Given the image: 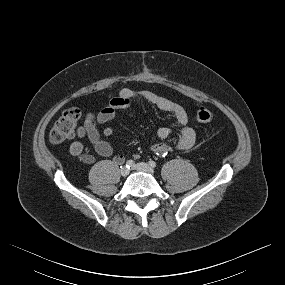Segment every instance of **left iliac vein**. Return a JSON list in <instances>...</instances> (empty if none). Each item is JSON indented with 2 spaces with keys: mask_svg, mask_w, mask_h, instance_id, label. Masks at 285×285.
Returning a JSON list of instances; mask_svg holds the SVG:
<instances>
[{
  "mask_svg": "<svg viewBox=\"0 0 285 285\" xmlns=\"http://www.w3.org/2000/svg\"><path fill=\"white\" fill-rule=\"evenodd\" d=\"M132 169L137 170V171H142V172H146V173H150L153 174L154 173V169L152 167H150L148 164L146 163H138L135 164Z\"/></svg>",
  "mask_w": 285,
  "mask_h": 285,
  "instance_id": "1",
  "label": "left iliac vein"
}]
</instances>
